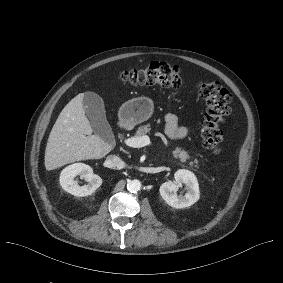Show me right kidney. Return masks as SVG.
<instances>
[{"instance_id":"1","label":"right kidney","mask_w":283,"mask_h":283,"mask_svg":"<svg viewBox=\"0 0 283 283\" xmlns=\"http://www.w3.org/2000/svg\"><path fill=\"white\" fill-rule=\"evenodd\" d=\"M78 175L81 179H85L87 184L79 186L75 180ZM59 181L65 191L77 197L91 195L102 184L101 177L94 174L89 165L83 163H75L67 166L61 172Z\"/></svg>"}]
</instances>
